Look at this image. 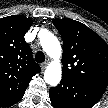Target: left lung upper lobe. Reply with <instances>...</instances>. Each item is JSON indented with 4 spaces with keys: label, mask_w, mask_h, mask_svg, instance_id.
Wrapping results in <instances>:
<instances>
[{
    "label": "left lung upper lobe",
    "mask_w": 108,
    "mask_h": 108,
    "mask_svg": "<svg viewBox=\"0 0 108 108\" xmlns=\"http://www.w3.org/2000/svg\"><path fill=\"white\" fill-rule=\"evenodd\" d=\"M63 39V76L108 85V45L83 23L53 19Z\"/></svg>",
    "instance_id": "5c2ea615"
}]
</instances>
